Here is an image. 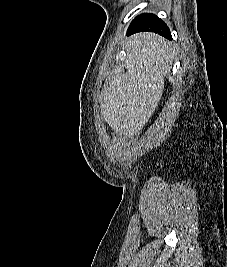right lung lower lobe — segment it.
I'll return each mask as SVG.
<instances>
[{
	"instance_id": "obj_1",
	"label": "right lung lower lobe",
	"mask_w": 227,
	"mask_h": 267,
	"mask_svg": "<svg viewBox=\"0 0 227 267\" xmlns=\"http://www.w3.org/2000/svg\"><path fill=\"white\" fill-rule=\"evenodd\" d=\"M149 31L162 35L165 38L172 39L171 33L165 22L153 14H142L132 21L127 35L137 32Z\"/></svg>"
}]
</instances>
